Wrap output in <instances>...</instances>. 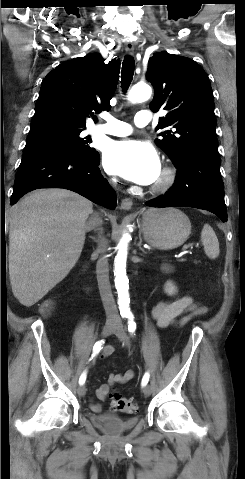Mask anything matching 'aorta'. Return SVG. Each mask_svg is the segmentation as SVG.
<instances>
[{
    "label": "aorta",
    "mask_w": 245,
    "mask_h": 479,
    "mask_svg": "<svg viewBox=\"0 0 245 479\" xmlns=\"http://www.w3.org/2000/svg\"><path fill=\"white\" fill-rule=\"evenodd\" d=\"M152 90L146 84H136L129 92V100L132 103H140L151 97ZM129 235L124 234L118 244V253L115 258V287L118 294V304L121 314H129L130 298H129V280L126 275V260Z\"/></svg>",
    "instance_id": "762f6f07"
}]
</instances>
